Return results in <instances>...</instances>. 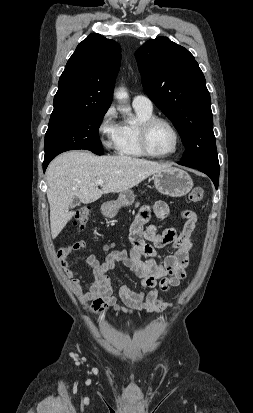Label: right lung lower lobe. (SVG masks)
<instances>
[{
	"instance_id": "right-lung-lower-lobe-1",
	"label": "right lung lower lobe",
	"mask_w": 253,
	"mask_h": 413,
	"mask_svg": "<svg viewBox=\"0 0 253 413\" xmlns=\"http://www.w3.org/2000/svg\"><path fill=\"white\" fill-rule=\"evenodd\" d=\"M92 152H94V153L97 154V155H103V154H104L103 151H92ZM52 159H53V158L44 159V162H43V171L46 170L49 162H50Z\"/></svg>"
}]
</instances>
